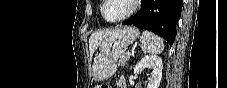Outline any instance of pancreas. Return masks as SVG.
I'll return each instance as SVG.
<instances>
[{
    "instance_id": "1",
    "label": "pancreas",
    "mask_w": 227,
    "mask_h": 88,
    "mask_svg": "<svg viewBox=\"0 0 227 88\" xmlns=\"http://www.w3.org/2000/svg\"><path fill=\"white\" fill-rule=\"evenodd\" d=\"M128 60H129V56L127 54H124L119 59V65L124 66Z\"/></svg>"
}]
</instances>
